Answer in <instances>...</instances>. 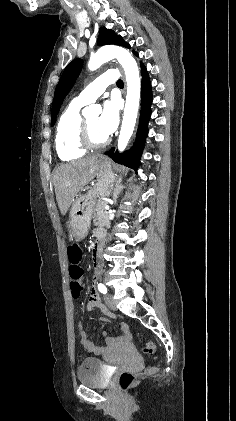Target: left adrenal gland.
<instances>
[{"label": "left adrenal gland", "instance_id": "obj_1", "mask_svg": "<svg viewBox=\"0 0 236 421\" xmlns=\"http://www.w3.org/2000/svg\"><path fill=\"white\" fill-rule=\"evenodd\" d=\"M121 180H122V176H121L119 182H117V184H115V186L113 188V200H114V202H117L118 192H120L121 188H124V184H122Z\"/></svg>", "mask_w": 236, "mask_h": 421}]
</instances>
